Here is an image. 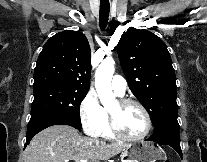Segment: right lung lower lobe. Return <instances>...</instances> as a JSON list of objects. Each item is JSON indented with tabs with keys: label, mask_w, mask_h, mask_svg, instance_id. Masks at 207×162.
I'll return each mask as SVG.
<instances>
[{
	"label": "right lung lower lobe",
	"mask_w": 207,
	"mask_h": 162,
	"mask_svg": "<svg viewBox=\"0 0 207 162\" xmlns=\"http://www.w3.org/2000/svg\"><path fill=\"white\" fill-rule=\"evenodd\" d=\"M69 125L76 129L81 128V123H77L71 118L57 114V113H39L31 116L28 123L27 136H26V145L30 140L41 130L53 126V125Z\"/></svg>",
	"instance_id": "98d812e1"
}]
</instances>
